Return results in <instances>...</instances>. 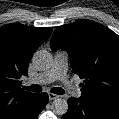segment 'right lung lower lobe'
<instances>
[{
    "instance_id": "1",
    "label": "right lung lower lobe",
    "mask_w": 119,
    "mask_h": 119,
    "mask_svg": "<svg viewBox=\"0 0 119 119\" xmlns=\"http://www.w3.org/2000/svg\"><path fill=\"white\" fill-rule=\"evenodd\" d=\"M48 102V94L41 93L37 94L34 102L25 112V114L21 117V119H37L39 113L45 108Z\"/></svg>"
}]
</instances>
